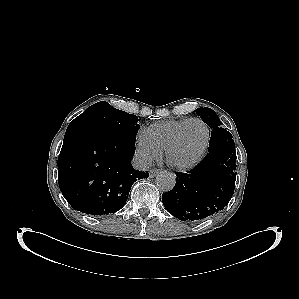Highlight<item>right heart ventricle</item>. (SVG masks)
<instances>
[{
	"label": "right heart ventricle",
	"mask_w": 299,
	"mask_h": 299,
	"mask_svg": "<svg viewBox=\"0 0 299 299\" xmlns=\"http://www.w3.org/2000/svg\"><path fill=\"white\" fill-rule=\"evenodd\" d=\"M189 119L157 122L150 125L144 132L146 140L160 152L165 150L175 132Z\"/></svg>",
	"instance_id": "1"
}]
</instances>
